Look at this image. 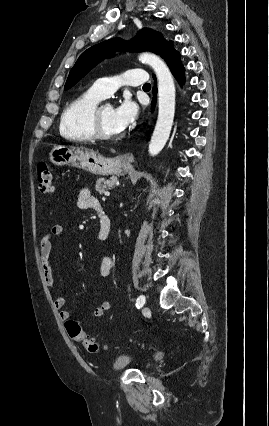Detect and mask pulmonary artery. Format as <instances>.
Returning a JSON list of instances; mask_svg holds the SVG:
<instances>
[{
	"label": "pulmonary artery",
	"instance_id": "e3ab8cb5",
	"mask_svg": "<svg viewBox=\"0 0 269 426\" xmlns=\"http://www.w3.org/2000/svg\"><path fill=\"white\" fill-rule=\"evenodd\" d=\"M148 80L147 71L141 68L127 70L122 75L123 84L137 86L145 84ZM118 77H105L98 79L91 87V90L101 98H107L120 85Z\"/></svg>",
	"mask_w": 269,
	"mask_h": 426
}]
</instances>
